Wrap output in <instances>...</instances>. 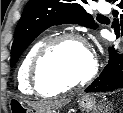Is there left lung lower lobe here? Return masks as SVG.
<instances>
[{
	"mask_svg": "<svg viewBox=\"0 0 123 113\" xmlns=\"http://www.w3.org/2000/svg\"><path fill=\"white\" fill-rule=\"evenodd\" d=\"M116 10L113 11L115 20L112 27L117 37L123 35V0H112ZM123 88V55L109 48V62L95 81L85 89V92H105Z\"/></svg>",
	"mask_w": 123,
	"mask_h": 113,
	"instance_id": "0a47b994",
	"label": "left lung lower lobe"
}]
</instances>
